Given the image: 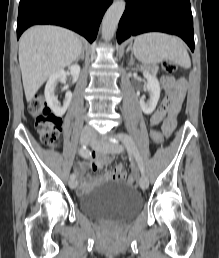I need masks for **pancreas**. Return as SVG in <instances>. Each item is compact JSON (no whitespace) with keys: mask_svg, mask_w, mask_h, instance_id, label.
Wrapping results in <instances>:
<instances>
[{"mask_svg":"<svg viewBox=\"0 0 219 258\" xmlns=\"http://www.w3.org/2000/svg\"><path fill=\"white\" fill-rule=\"evenodd\" d=\"M146 68L151 70L152 72H157L158 71V66H151V67H146Z\"/></svg>","mask_w":219,"mask_h":258,"instance_id":"1","label":"pancreas"}]
</instances>
